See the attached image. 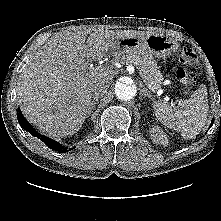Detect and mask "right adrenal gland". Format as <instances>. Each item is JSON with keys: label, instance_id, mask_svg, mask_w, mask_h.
I'll return each instance as SVG.
<instances>
[{"label": "right adrenal gland", "instance_id": "right-adrenal-gland-1", "mask_svg": "<svg viewBox=\"0 0 221 221\" xmlns=\"http://www.w3.org/2000/svg\"><path fill=\"white\" fill-rule=\"evenodd\" d=\"M97 103H98V98L94 99V101H92L90 103L88 115H90L93 112V110H94L95 106L97 105Z\"/></svg>", "mask_w": 221, "mask_h": 221}]
</instances>
